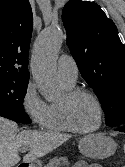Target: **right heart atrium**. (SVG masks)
<instances>
[{
	"mask_svg": "<svg viewBox=\"0 0 125 167\" xmlns=\"http://www.w3.org/2000/svg\"><path fill=\"white\" fill-rule=\"evenodd\" d=\"M21 107L35 127H45L50 105L42 99L33 81H29L24 89Z\"/></svg>",
	"mask_w": 125,
	"mask_h": 167,
	"instance_id": "d8ad5b80",
	"label": "right heart atrium"
}]
</instances>
